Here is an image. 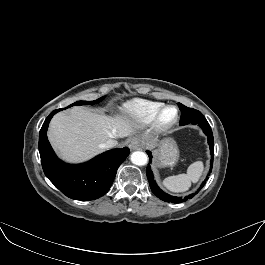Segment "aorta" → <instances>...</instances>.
<instances>
[{
	"mask_svg": "<svg viewBox=\"0 0 265 265\" xmlns=\"http://www.w3.org/2000/svg\"><path fill=\"white\" fill-rule=\"evenodd\" d=\"M131 162L138 166L146 165L148 156L142 151H136L131 154Z\"/></svg>",
	"mask_w": 265,
	"mask_h": 265,
	"instance_id": "762f6f07",
	"label": "aorta"
}]
</instances>
